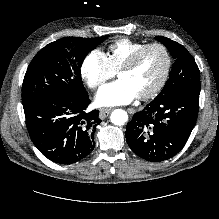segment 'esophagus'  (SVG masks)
<instances>
[{"instance_id": "1", "label": "esophagus", "mask_w": 219, "mask_h": 219, "mask_svg": "<svg viewBox=\"0 0 219 219\" xmlns=\"http://www.w3.org/2000/svg\"><path fill=\"white\" fill-rule=\"evenodd\" d=\"M112 109L110 108H102L100 109V118L105 119L111 113Z\"/></svg>"}]
</instances>
